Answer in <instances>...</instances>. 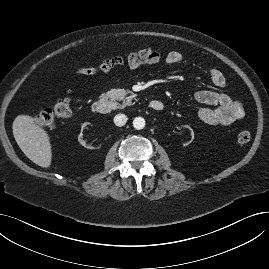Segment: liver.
Instances as JSON below:
<instances>
[{
  "label": "liver",
  "mask_w": 269,
  "mask_h": 269,
  "mask_svg": "<svg viewBox=\"0 0 269 269\" xmlns=\"http://www.w3.org/2000/svg\"><path fill=\"white\" fill-rule=\"evenodd\" d=\"M14 138L22 152L36 165L48 168L52 162L50 138L37 119L21 114L12 125Z\"/></svg>",
  "instance_id": "liver-1"
}]
</instances>
